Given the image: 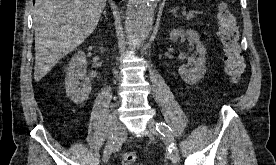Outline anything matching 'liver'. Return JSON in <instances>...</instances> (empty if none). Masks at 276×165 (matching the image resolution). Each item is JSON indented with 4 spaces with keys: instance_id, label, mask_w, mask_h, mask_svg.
<instances>
[{
    "instance_id": "6515ba94",
    "label": "liver",
    "mask_w": 276,
    "mask_h": 165,
    "mask_svg": "<svg viewBox=\"0 0 276 165\" xmlns=\"http://www.w3.org/2000/svg\"><path fill=\"white\" fill-rule=\"evenodd\" d=\"M106 0H36L34 79L40 81L95 30Z\"/></svg>"
}]
</instances>
